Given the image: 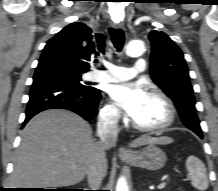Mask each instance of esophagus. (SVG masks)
Returning <instances> with one entry per match:
<instances>
[{
  "label": "esophagus",
  "instance_id": "1",
  "mask_svg": "<svg viewBox=\"0 0 218 191\" xmlns=\"http://www.w3.org/2000/svg\"><path fill=\"white\" fill-rule=\"evenodd\" d=\"M113 26L117 29H124V24L122 22L113 23ZM119 156H128L131 154L130 150L125 147H120L118 151Z\"/></svg>",
  "mask_w": 218,
  "mask_h": 191
}]
</instances>
